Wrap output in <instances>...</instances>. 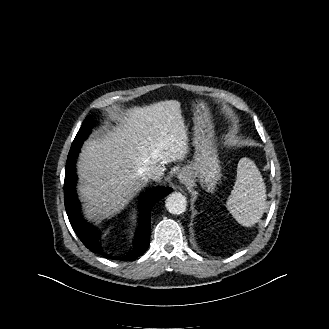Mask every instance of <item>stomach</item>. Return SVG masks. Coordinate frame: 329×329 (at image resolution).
<instances>
[{"label": "stomach", "mask_w": 329, "mask_h": 329, "mask_svg": "<svg viewBox=\"0 0 329 329\" xmlns=\"http://www.w3.org/2000/svg\"><path fill=\"white\" fill-rule=\"evenodd\" d=\"M195 147L194 161L184 168L191 179L197 180L203 189L212 192L221 178L214 124L211 113L203 101L193 102Z\"/></svg>", "instance_id": "0dacf381"}]
</instances>
